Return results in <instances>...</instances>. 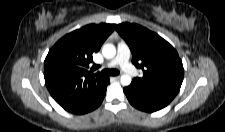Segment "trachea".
Listing matches in <instances>:
<instances>
[{
    "instance_id": "1",
    "label": "trachea",
    "mask_w": 225,
    "mask_h": 132,
    "mask_svg": "<svg viewBox=\"0 0 225 132\" xmlns=\"http://www.w3.org/2000/svg\"><path fill=\"white\" fill-rule=\"evenodd\" d=\"M119 73L120 72L116 69H105L101 72V76H104V77L111 76V75L116 76V75H119Z\"/></svg>"
}]
</instances>
